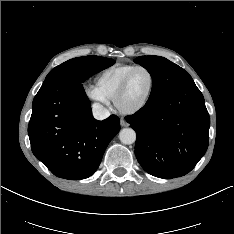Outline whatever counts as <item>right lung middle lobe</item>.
I'll return each instance as SVG.
<instances>
[{
  "label": "right lung middle lobe",
  "mask_w": 234,
  "mask_h": 234,
  "mask_svg": "<svg viewBox=\"0 0 234 234\" xmlns=\"http://www.w3.org/2000/svg\"><path fill=\"white\" fill-rule=\"evenodd\" d=\"M113 59L98 56H84L70 59L54 69L46 76V79L62 74H71L75 81L83 83L90 75L112 66Z\"/></svg>",
  "instance_id": "1"
}]
</instances>
